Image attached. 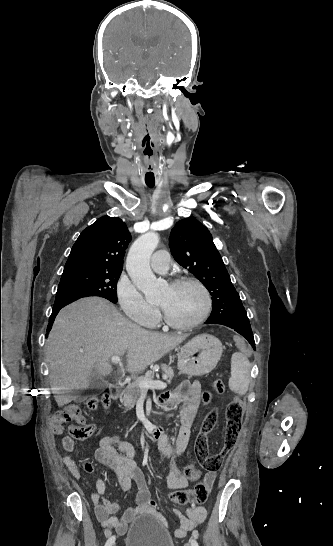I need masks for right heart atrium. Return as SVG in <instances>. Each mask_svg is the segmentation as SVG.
<instances>
[{
    "label": "right heart atrium",
    "instance_id": "right-heart-atrium-1",
    "mask_svg": "<svg viewBox=\"0 0 333 546\" xmlns=\"http://www.w3.org/2000/svg\"><path fill=\"white\" fill-rule=\"evenodd\" d=\"M115 291L121 310L130 320L144 326L156 322L158 310L146 301L127 276L119 278Z\"/></svg>",
    "mask_w": 333,
    "mask_h": 546
}]
</instances>
